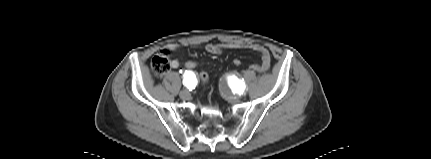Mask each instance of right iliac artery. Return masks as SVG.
Here are the masks:
<instances>
[{
    "mask_svg": "<svg viewBox=\"0 0 431 159\" xmlns=\"http://www.w3.org/2000/svg\"><path fill=\"white\" fill-rule=\"evenodd\" d=\"M183 84L189 89L191 90L195 83H196V77L194 75L193 72L191 71H185L184 76H183Z\"/></svg>",
    "mask_w": 431,
    "mask_h": 159,
    "instance_id": "82829eb1",
    "label": "right iliac artery"
}]
</instances>
